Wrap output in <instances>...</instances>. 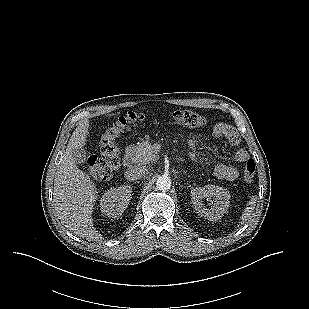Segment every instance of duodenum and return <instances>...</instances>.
<instances>
[{
	"mask_svg": "<svg viewBox=\"0 0 309 309\" xmlns=\"http://www.w3.org/2000/svg\"><path fill=\"white\" fill-rule=\"evenodd\" d=\"M135 162V153L129 150L125 153L123 157V163L125 167H131Z\"/></svg>",
	"mask_w": 309,
	"mask_h": 309,
	"instance_id": "410a0bca",
	"label": "duodenum"
}]
</instances>
